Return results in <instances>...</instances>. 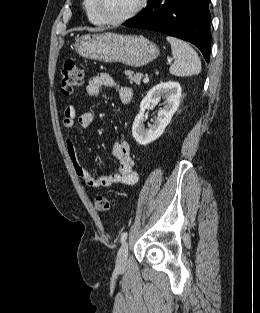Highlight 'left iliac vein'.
Wrapping results in <instances>:
<instances>
[{
	"label": "left iliac vein",
	"instance_id": "1",
	"mask_svg": "<svg viewBox=\"0 0 260 313\" xmlns=\"http://www.w3.org/2000/svg\"><path fill=\"white\" fill-rule=\"evenodd\" d=\"M128 258V243L124 242L117 254L116 266L117 268H124L127 264Z\"/></svg>",
	"mask_w": 260,
	"mask_h": 313
}]
</instances>
